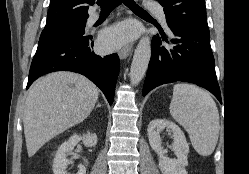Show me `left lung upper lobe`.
<instances>
[{
    "instance_id": "5c2ea615",
    "label": "left lung upper lobe",
    "mask_w": 249,
    "mask_h": 174,
    "mask_svg": "<svg viewBox=\"0 0 249 174\" xmlns=\"http://www.w3.org/2000/svg\"><path fill=\"white\" fill-rule=\"evenodd\" d=\"M164 6L167 23L209 30L205 0H157Z\"/></svg>"
}]
</instances>
